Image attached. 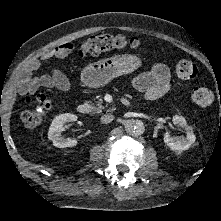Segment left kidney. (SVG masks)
I'll use <instances>...</instances> for the list:
<instances>
[{"label": "left kidney", "instance_id": "5707ae66", "mask_svg": "<svg viewBox=\"0 0 221 221\" xmlns=\"http://www.w3.org/2000/svg\"><path fill=\"white\" fill-rule=\"evenodd\" d=\"M172 121L174 125L185 130L186 137L171 136L169 132H166L164 134V142L174 151L187 150L196 140L191 126L187 124L184 117L179 115L173 116Z\"/></svg>", "mask_w": 221, "mask_h": 221}]
</instances>
